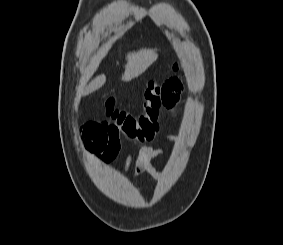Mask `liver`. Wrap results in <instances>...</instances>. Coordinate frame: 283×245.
Masks as SVG:
<instances>
[{"label": "liver", "mask_w": 283, "mask_h": 245, "mask_svg": "<svg viewBox=\"0 0 283 245\" xmlns=\"http://www.w3.org/2000/svg\"><path fill=\"white\" fill-rule=\"evenodd\" d=\"M158 57V54L153 49H141L137 52H130L126 56L127 63L125 65V72L122 75L123 81H130L141 75L151 64H153ZM106 82L104 74L98 75L94 78L87 88L82 92L88 94L101 88Z\"/></svg>", "instance_id": "liver-1"}]
</instances>
